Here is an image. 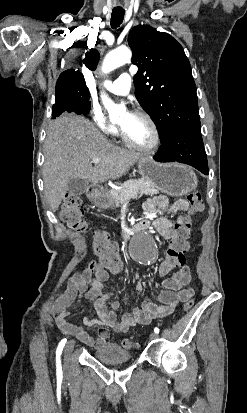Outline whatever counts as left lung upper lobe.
Segmentation results:
<instances>
[{"label":"left lung upper lobe","instance_id":"5c2ea615","mask_svg":"<svg viewBox=\"0 0 247 413\" xmlns=\"http://www.w3.org/2000/svg\"><path fill=\"white\" fill-rule=\"evenodd\" d=\"M128 44L138 66L135 95L157 125L160 140L178 130L200 131L196 85L182 46L148 25L135 27Z\"/></svg>","mask_w":247,"mask_h":413}]
</instances>
